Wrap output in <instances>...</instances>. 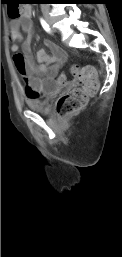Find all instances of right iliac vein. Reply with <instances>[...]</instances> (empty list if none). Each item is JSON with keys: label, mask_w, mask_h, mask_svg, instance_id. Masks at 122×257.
<instances>
[{"label": "right iliac vein", "mask_w": 122, "mask_h": 257, "mask_svg": "<svg viewBox=\"0 0 122 257\" xmlns=\"http://www.w3.org/2000/svg\"><path fill=\"white\" fill-rule=\"evenodd\" d=\"M46 20L49 24H52V20L49 17H47Z\"/></svg>", "instance_id": "1"}]
</instances>
